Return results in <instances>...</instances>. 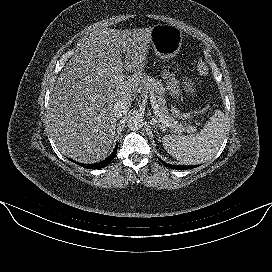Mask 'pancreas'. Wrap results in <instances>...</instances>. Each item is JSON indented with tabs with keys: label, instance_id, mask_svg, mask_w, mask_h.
<instances>
[{
	"label": "pancreas",
	"instance_id": "cf45deb5",
	"mask_svg": "<svg viewBox=\"0 0 272 272\" xmlns=\"http://www.w3.org/2000/svg\"><path fill=\"white\" fill-rule=\"evenodd\" d=\"M142 88L144 91H150L155 93L157 98V104L159 106V112L163 116V118L167 120L168 123L171 125L170 128L174 131L181 130L183 128V125L178 123L175 118L176 117L182 118V116L184 118H189L190 114L189 113L181 114L180 112H177L175 115H172L168 112L166 100L164 97L165 88L163 87L161 82L153 77L146 76L143 79Z\"/></svg>",
	"mask_w": 272,
	"mask_h": 272
}]
</instances>
